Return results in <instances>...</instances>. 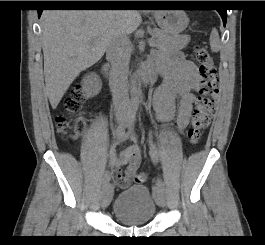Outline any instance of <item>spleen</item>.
Instances as JSON below:
<instances>
[{
    "mask_svg": "<svg viewBox=\"0 0 265 245\" xmlns=\"http://www.w3.org/2000/svg\"><path fill=\"white\" fill-rule=\"evenodd\" d=\"M210 45H211L212 51L214 52L219 51V48H220L219 34L216 29H213L211 32Z\"/></svg>",
    "mask_w": 265,
    "mask_h": 245,
    "instance_id": "3e777b00",
    "label": "spleen"
}]
</instances>
